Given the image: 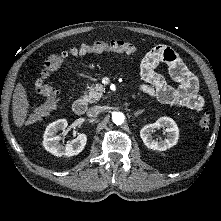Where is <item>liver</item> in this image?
Segmentation results:
<instances>
[{
  "label": "liver",
  "instance_id": "1",
  "mask_svg": "<svg viewBox=\"0 0 221 221\" xmlns=\"http://www.w3.org/2000/svg\"><path fill=\"white\" fill-rule=\"evenodd\" d=\"M29 108V102L27 100V94L25 88L21 83H18L15 87L12 98V111L13 120L17 127H22L27 117Z\"/></svg>",
  "mask_w": 221,
  "mask_h": 221
}]
</instances>
